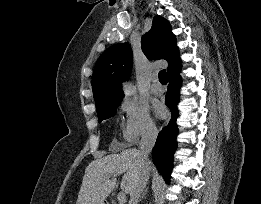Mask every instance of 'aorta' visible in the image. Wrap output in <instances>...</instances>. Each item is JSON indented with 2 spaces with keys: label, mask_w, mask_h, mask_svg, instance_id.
Listing matches in <instances>:
<instances>
[{
  "label": "aorta",
  "mask_w": 261,
  "mask_h": 204,
  "mask_svg": "<svg viewBox=\"0 0 261 204\" xmlns=\"http://www.w3.org/2000/svg\"><path fill=\"white\" fill-rule=\"evenodd\" d=\"M126 94H127V95L133 94V89H132L131 87H129V88L126 90Z\"/></svg>",
  "instance_id": "762f6f07"
}]
</instances>
